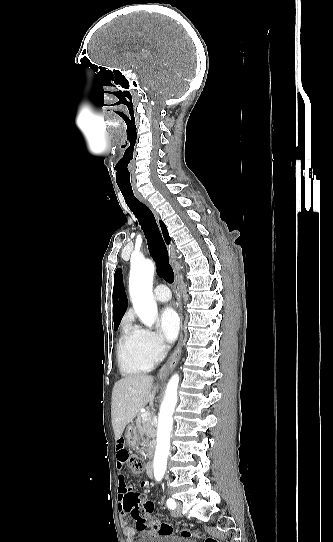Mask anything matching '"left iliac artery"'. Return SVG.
Wrapping results in <instances>:
<instances>
[{"instance_id": "obj_1", "label": "left iliac artery", "mask_w": 333, "mask_h": 542, "mask_svg": "<svg viewBox=\"0 0 333 542\" xmlns=\"http://www.w3.org/2000/svg\"><path fill=\"white\" fill-rule=\"evenodd\" d=\"M167 506L170 508V509H174L176 507V503L173 499L169 498L167 500Z\"/></svg>"}]
</instances>
